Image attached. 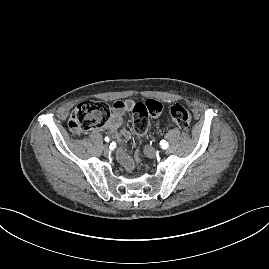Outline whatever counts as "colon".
Masks as SVG:
<instances>
[{
  "instance_id": "1",
  "label": "colon",
  "mask_w": 269,
  "mask_h": 269,
  "mask_svg": "<svg viewBox=\"0 0 269 269\" xmlns=\"http://www.w3.org/2000/svg\"><path fill=\"white\" fill-rule=\"evenodd\" d=\"M162 105L156 100H146L136 103L133 107V130L142 137L149 126V117L158 115ZM172 121L181 129L187 130L191 123V114L179 104L172 105L168 109ZM110 116L108 104L99 101H84L79 103L72 111L68 126L73 136H81L88 131L103 126Z\"/></svg>"
}]
</instances>
